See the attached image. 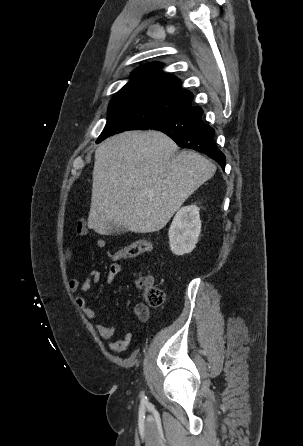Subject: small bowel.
I'll use <instances>...</instances> for the list:
<instances>
[{
  "label": "small bowel",
  "instance_id": "obj_1",
  "mask_svg": "<svg viewBox=\"0 0 303 446\" xmlns=\"http://www.w3.org/2000/svg\"><path fill=\"white\" fill-rule=\"evenodd\" d=\"M87 233H88L87 223L83 220L79 221L76 227V234L78 236H85ZM96 245L99 248H104L105 241L99 238L96 240ZM72 254H73V247L72 246L67 247L65 251L66 264H69L71 262ZM121 271L122 268L119 263L116 262L112 263L109 268V272L106 276V283L108 285H111L119 276ZM100 278H101L100 272L95 270L91 271L84 280H80L79 278H72L68 282L70 291L78 292V296L76 299L78 308L81 310L84 316L89 319H95L97 317V312L93 308L88 306L87 294L93 285L99 284ZM132 312L140 322H146L150 317V308L144 303L135 304L133 306ZM94 329L100 337L109 340L107 342V347L109 348V350L113 352L125 350L126 348L129 347V345L132 342V334L129 332H125L118 339L113 340V338L116 335V329L113 326H105L99 323H95Z\"/></svg>",
  "mask_w": 303,
  "mask_h": 446
}]
</instances>
